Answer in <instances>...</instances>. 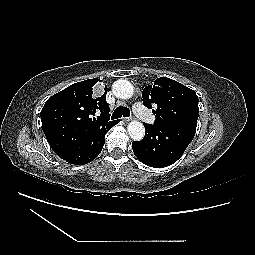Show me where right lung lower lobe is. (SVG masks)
Instances as JSON below:
<instances>
[{"instance_id":"98d812e1","label":"right lung lower lobe","mask_w":255,"mask_h":255,"mask_svg":"<svg viewBox=\"0 0 255 255\" xmlns=\"http://www.w3.org/2000/svg\"><path fill=\"white\" fill-rule=\"evenodd\" d=\"M118 122L119 120L110 126L89 132L60 157L70 164L82 165L91 162L100 154L105 143V134Z\"/></svg>"}]
</instances>
